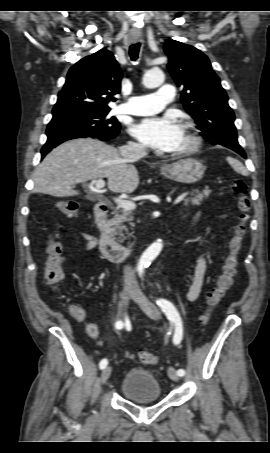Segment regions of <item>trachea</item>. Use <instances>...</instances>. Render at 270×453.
<instances>
[{"label":"trachea","mask_w":270,"mask_h":453,"mask_svg":"<svg viewBox=\"0 0 270 453\" xmlns=\"http://www.w3.org/2000/svg\"><path fill=\"white\" fill-rule=\"evenodd\" d=\"M140 46V43H135L129 47V55L133 61H136L138 59Z\"/></svg>","instance_id":"obj_1"}]
</instances>
